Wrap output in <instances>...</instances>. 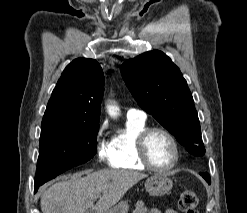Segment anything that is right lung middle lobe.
<instances>
[{"instance_id":"1","label":"right lung middle lobe","mask_w":247,"mask_h":213,"mask_svg":"<svg viewBox=\"0 0 247 213\" xmlns=\"http://www.w3.org/2000/svg\"><path fill=\"white\" fill-rule=\"evenodd\" d=\"M99 125L42 124L34 187L85 163L96 154Z\"/></svg>"}]
</instances>
